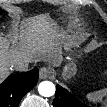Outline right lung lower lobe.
<instances>
[{"label":"right lung lower lobe","mask_w":107,"mask_h":107,"mask_svg":"<svg viewBox=\"0 0 107 107\" xmlns=\"http://www.w3.org/2000/svg\"><path fill=\"white\" fill-rule=\"evenodd\" d=\"M38 69L9 76L0 85V107H17L22 97L37 83Z\"/></svg>","instance_id":"98d812e1"}]
</instances>
